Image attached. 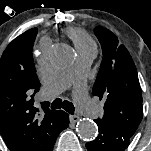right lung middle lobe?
Returning a JSON list of instances; mask_svg holds the SVG:
<instances>
[{
    "label": "right lung middle lobe",
    "instance_id": "1",
    "mask_svg": "<svg viewBox=\"0 0 151 151\" xmlns=\"http://www.w3.org/2000/svg\"><path fill=\"white\" fill-rule=\"evenodd\" d=\"M38 30L34 31L33 37L30 39V45L33 46L35 37L37 35ZM24 64V58L19 56H8V57H1L0 59V69L5 71L12 77H19L22 74V65ZM30 64H32V57Z\"/></svg>",
    "mask_w": 151,
    "mask_h": 151
}]
</instances>
